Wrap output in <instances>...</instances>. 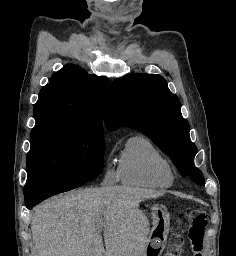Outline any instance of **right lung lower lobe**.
Returning a JSON list of instances; mask_svg holds the SVG:
<instances>
[{
    "instance_id": "1",
    "label": "right lung lower lobe",
    "mask_w": 236,
    "mask_h": 256,
    "mask_svg": "<svg viewBox=\"0 0 236 256\" xmlns=\"http://www.w3.org/2000/svg\"><path fill=\"white\" fill-rule=\"evenodd\" d=\"M86 182H87V180H81V181L75 182L70 185L46 190L44 192H41L39 194H36L34 196H31V197L25 199V205L28 209H32L35 205L42 202L43 200H45L48 197L65 192V191L72 190L74 188H77V187L85 184Z\"/></svg>"
}]
</instances>
